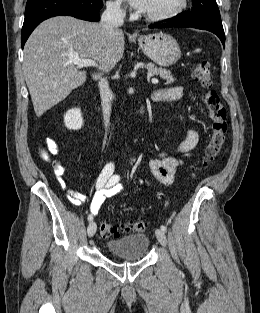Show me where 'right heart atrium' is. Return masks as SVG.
<instances>
[{
    "label": "right heart atrium",
    "instance_id": "obj_1",
    "mask_svg": "<svg viewBox=\"0 0 260 313\" xmlns=\"http://www.w3.org/2000/svg\"><path fill=\"white\" fill-rule=\"evenodd\" d=\"M108 11L114 15H120L124 13V5L122 0H111L107 3Z\"/></svg>",
    "mask_w": 260,
    "mask_h": 313
}]
</instances>
